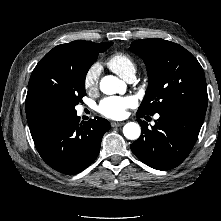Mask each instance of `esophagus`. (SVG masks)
Here are the masks:
<instances>
[{"instance_id":"34e87169","label":"esophagus","mask_w":221,"mask_h":221,"mask_svg":"<svg viewBox=\"0 0 221 221\" xmlns=\"http://www.w3.org/2000/svg\"><path fill=\"white\" fill-rule=\"evenodd\" d=\"M124 125V122H111V127H120Z\"/></svg>"}]
</instances>
